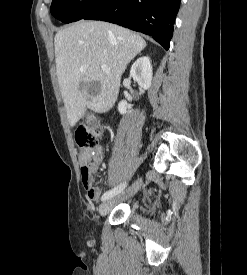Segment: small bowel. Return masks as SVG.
<instances>
[{
	"instance_id": "c3829d8e",
	"label": "small bowel",
	"mask_w": 247,
	"mask_h": 275,
	"mask_svg": "<svg viewBox=\"0 0 247 275\" xmlns=\"http://www.w3.org/2000/svg\"><path fill=\"white\" fill-rule=\"evenodd\" d=\"M95 153L96 157L93 159H88L84 153L80 155L81 179L86 190L87 197L91 201H98L101 196V190L94 185L93 175L96 173L99 165L103 160L102 148H96Z\"/></svg>"
}]
</instances>
